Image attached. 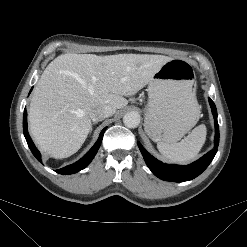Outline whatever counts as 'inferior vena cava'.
Masks as SVG:
<instances>
[{"mask_svg": "<svg viewBox=\"0 0 247 247\" xmlns=\"http://www.w3.org/2000/svg\"><path fill=\"white\" fill-rule=\"evenodd\" d=\"M115 109L110 106H100L90 112V118L93 122L102 121L103 119L112 116Z\"/></svg>", "mask_w": 247, "mask_h": 247, "instance_id": "inferior-vena-cava-1", "label": "inferior vena cava"}]
</instances>
